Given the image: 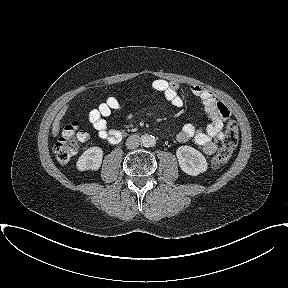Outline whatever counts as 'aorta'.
I'll return each instance as SVG.
<instances>
[{"instance_id":"1","label":"aorta","mask_w":288,"mask_h":288,"mask_svg":"<svg viewBox=\"0 0 288 288\" xmlns=\"http://www.w3.org/2000/svg\"><path fill=\"white\" fill-rule=\"evenodd\" d=\"M140 139H141V144L144 147H153L156 144V139L152 135L145 134Z\"/></svg>"}]
</instances>
